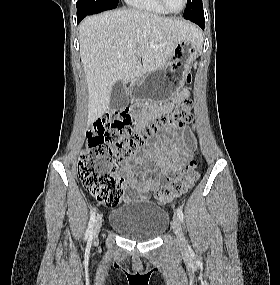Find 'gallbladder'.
<instances>
[{"mask_svg": "<svg viewBox=\"0 0 280 285\" xmlns=\"http://www.w3.org/2000/svg\"><path fill=\"white\" fill-rule=\"evenodd\" d=\"M129 103V97L124 84L120 81L115 82L110 93V108L120 110L125 108Z\"/></svg>", "mask_w": 280, "mask_h": 285, "instance_id": "gallbladder-1", "label": "gallbladder"}]
</instances>
